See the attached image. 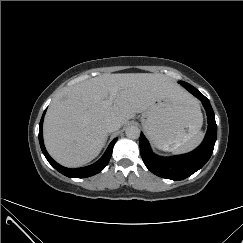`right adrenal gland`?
Here are the masks:
<instances>
[{
    "label": "right adrenal gland",
    "instance_id": "obj_1",
    "mask_svg": "<svg viewBox=\"0 0 243 243\" xmlns=\"http://www.w3.org/2000/svg\"><path fill=\"white\" fill-rule=\"evenodd\" d=\"M109 135H110L109 133L106 135V139L108 138Z\"/></svg>",
    "mask_w": 243,
    "mask_h": 243
}]
</instances>
